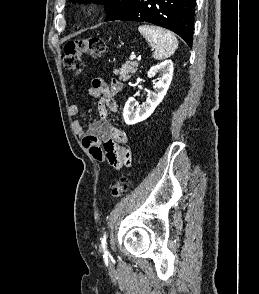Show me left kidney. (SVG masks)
<instances>
[{"mask_svg": "<svg viewBox=\"0 0 259 294\" xmlns=\"http://www.w3.org/2000/svg\"><path fill=\"white\" fill-rule=\"evenodd\" d=\"M173 62L165 60L150 68L149 77L160 74L158 81L154 83V92L142 105H138L133 97L126 102L123 110L124 121L127 125H134L147 119L163 100L173 77Z\"/></svg>", "mask_w": 259, "mask_h": 294, "instance_id": "1", "label": "left kidney"}]
</instances>
